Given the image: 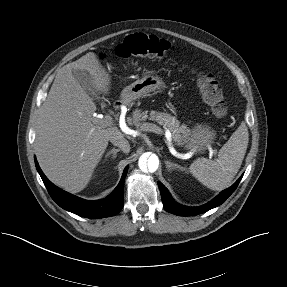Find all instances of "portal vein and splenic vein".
<instances>
[{
	"mask_svg": "<svg viewBox=\"0 0 287 287\" xmlns=\"http://www.w3.org/2000/svg\"><path fill=\"white\" fill-rule=\"evenodd\" d=\"M97 123L101 127H111L114 125V120L110 115H106L103 118L97 117ZM120 128L121 130L126 134H133V130L129 129L124 122H120ZM144 130L150 131L159 135H165L167 139L171 138V133L169 131H164L159 126L152 124V123H144Z\"/></svg>",
	"mask_w": 287,
	"mask_h": 287,
	"instance_id": "obj_1",
	"label": "portal vein and splenic vein"
}]
</instances>
